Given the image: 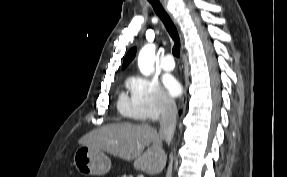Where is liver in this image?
I'll use <instances>...</instances> for the list:
<instances>
[{
    "mask_svg": "<svg viewBox=\"0 0 287 177\" xmlns=\"http://www.w3.org/2000/svg\"><path fill=\"white\" fill-rule=\"evenodd\" d=\"M162 140L152 126L122 122L107 124L89 132L79 140V144L105 151L124 160H134L136 169L154 175L161 172L165 166ZM146 147L148 148L144 151Z\"/></svg>",
    "mask_w": 287,
    "mask_h": 177,
    "instance_id": "liver-1",
    "label": "liver"
}]
</instances>
